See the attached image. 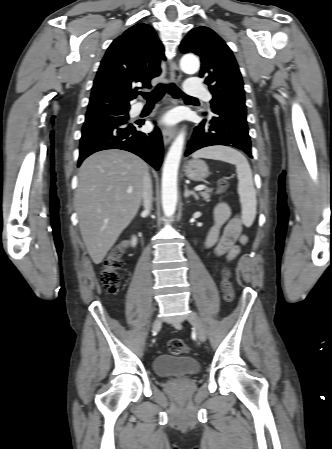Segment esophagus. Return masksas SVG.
<instances>
[{"instance_id":"34e87169","label":"esophagus","mask_w":332,"mask_h":449,"mask_svg":"<svg viewBox=\"0 0 332 449\" xmlns=\"http://www.w3.org/2000/svg\"><path fill=\"white\" fill-rule=\"evenodd\" d=\"M170 77H171V80L175 83H178L182 77V73L174 61L171 62V65H170ZM175 135H176L175 127H163L162 128V136H163V141H164L165 145H168L171 142V140L175 137Z\"/></svg>"}]
</instances>
